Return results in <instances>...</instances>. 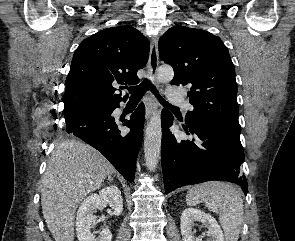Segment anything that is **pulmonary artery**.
Returning <instances> with one entry per match:
<instances>
[{
    "label": "pulmonary artery",
    "instance_id": "pulmonary-artery-1",
    "mask_svg": "<svg viewBox=\"0 0 295 241\" xmlns=\"http://www.w3.org/2000/svg\"><path fill=\"white\" fill-rule=\"evenodd\" d=\"M168 99L180 106H188V103L185 101L182 92L178 89H175L172 85L169 87L168 93H167Z\"/></svg>",
    "mask_w": 295,
    "mask_h": 241
}]
</instances>
